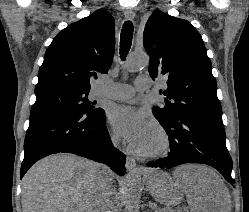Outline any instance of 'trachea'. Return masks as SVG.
<instances>
[{
  "label": "trachea",
  "instance_id": "trachea-1",
  "mask_svg": "<svg viewBox=\"0 0 249 212\" xmlns=\"http://www.w3.org/2000/svg\"><path fill=\"white\" fill-rule=\"evenodd\" d=\"M133 37V25L132 22H124L123 28L121 30V39H120V57L121 60H125L130 47L132 45Z\"/></svg>",
  "mask_w": 249,
  "mask_h": 212
}]
</instances>
